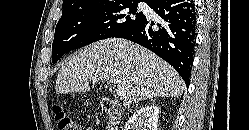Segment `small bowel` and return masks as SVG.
Masks as SVG:
<instances>
[{"instance_id": "small-bowel-1", "label": "small bowel", "mask_w": 249, "mask_h": 130, "mask_svg": "<svg viewBox=\"0 0 249 130\" xmlns=\"http://www.w3.org/2000/svg\"><path fill=\"white\" fill-rule=\"evenodd\" d=\"M86 130H94L93 128H87Z\"/></svg>"}]
</instances>
